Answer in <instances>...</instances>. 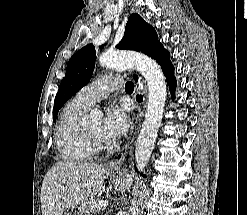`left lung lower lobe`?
<instances>
[{"mask_svg":"<svg viewBox=\"0 0 247 215\" xmlns=\"http://www.w3.org/2000/svg\"><path fill=\"white\" fill-rule=\"evenodd\" d=\"M151 57L155 59L158 62V64L161 65L164 75L166 76V79L168 80V85L172 93V98H174V91H175L177 82L174 77V67L170 62L169 52L165 50L163 46L161 45ZM134 79L137 81L138 77L134 76ZM145 176L146 175L143 174V177Z\"/></svg>","mask_w":247,"mask_h":215,"instance_id":"obj_1","label":"left lung lower lobe"}]
</instances>
